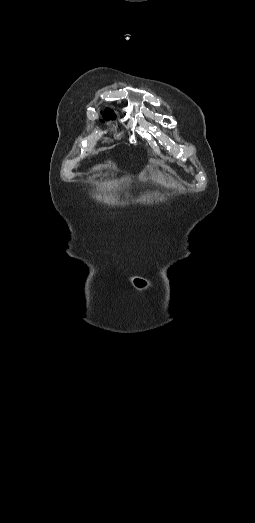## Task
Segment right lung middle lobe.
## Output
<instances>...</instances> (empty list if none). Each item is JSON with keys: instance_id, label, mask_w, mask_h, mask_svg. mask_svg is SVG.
Listing matches in <instances>:
<instances>
[{"instance_id": "obj_1", "label": "right lung middle lobe", "mask_w": 255, "mask_h": 523, "mask_svg": "<svg viewBox=\"0 0 255 523\" xmlns=\"http://www.w3.org/2000/svg\"><path fill=\"white\" fill-rule=\"evenodd\" d=\"M104 116L107 119H114L115 118V114L110 109H106L104 111Z\"/></svg>"}]
</instances>
